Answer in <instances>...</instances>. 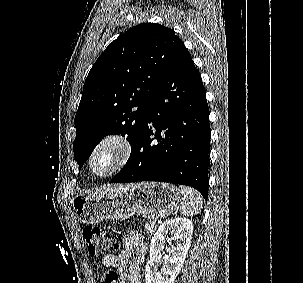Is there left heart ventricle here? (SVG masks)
<instances>
[{"label":"left heart ventricle","mask_w":303,"mask_h":283,"mask_svg":"<svg viewBox=\"0 0 303 283\" xmlns=\"http://www.w3.org/2000/svg\"><path fill=\"white\" fill-rule=\"evenodd\" d=\"M114 159V151L111 148L102 149L94 160V169L101 172L107 169Z\"/></svg>","instance_id":"obj_1"}]
</instances>
